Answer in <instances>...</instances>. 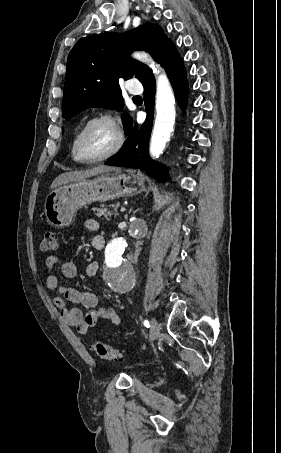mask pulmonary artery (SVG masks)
Returning a JSON list of instances; mask_svg holds the SVG:
<instances>
[{"label":"pulmonary artery","instance_id":"e3ab8cb5","mask_svg":"<svg viewBox=\"0 0 281 453\" xmlns=\"http://www.w3.org/2000/svg\"><path fill=\"white\" fill-rule=\"evenodd\" d=\"M126 89H127L128 91H130L131 93H133V94L135 93L134 91H131L129 88H126Z\"/></svg>","mask_w":281,"mask_h":453}]
</instances>
